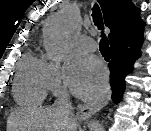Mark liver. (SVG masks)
Segmentation results:
<instances>
[{
  "label": "liver",
  "mask_w": 151,
  "mask_h": 131,
  "mask_svg": "<svg viewBox=\"0 0 151 131\" xmlns=\"http://www.w3.org/2000/svg\"><path fill=\"white\" fill-rule=\"evenodd\" d=\"M70 129L63 112L54 106L20 109L10 115L7 124V131H71Z\"/></svg>",
  "instance_id": "obj_1"
}]
</instances>
